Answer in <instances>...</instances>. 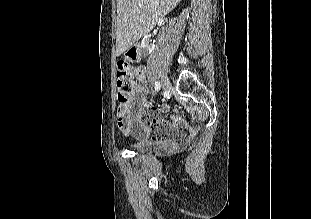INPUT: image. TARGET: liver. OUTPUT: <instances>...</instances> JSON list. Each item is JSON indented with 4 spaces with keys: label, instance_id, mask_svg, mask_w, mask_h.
Instances as JSON below:
<instances>
[{
    "label": "liver",
    "instance_id": "obj_1",
    "mask_svg": "<svg viewBox=\"0 0 311 219\" xmlns=\"http://www.w3.org/2000/svg\"><path fill=\"white\" fill-rule=\"evenodd\" d=\"M181 0H117L116 56L129 49Z\"/></svg>",
    "mask_w": 311,
    "mask_h": 219
}]
</instances>
